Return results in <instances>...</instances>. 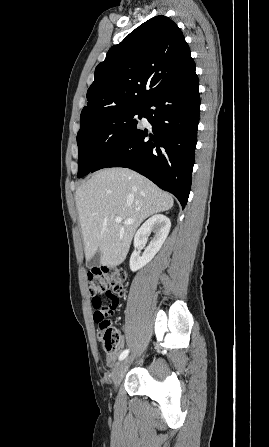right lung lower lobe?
<instances>
[{
	"label": "right lung lower lobe",
	"mask_w": 269,
	"mask_h": 447,
	"mask_svg": "<svg viewBox=\"0 0 269 447\" xmlns=\"http://www.w3.org/2000/svg\"><path fill=\"white\" fill-rule=\"evenodd\" d=\"M198 86L193 61L174 81L145 100L141 117L149 121L152 131L136 128L91 172L130 168L175 195L184 208L191 188L200 115Z\"/></svg>",
	"instance_id": "obj_1"
}]
</instances>
